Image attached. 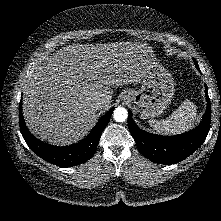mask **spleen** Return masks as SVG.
Returning a JSON list of instances; mask_svg holds the SVG:
<instances>
[{
    "instance_id": "spleen-1",
    "label": "spleen",
    "mask_w": 221,
    "mask_h": 221,
    "mask_svg": "<svg viewBox=\"0 0 221 221\" xmlns=\"http://www.w3.org/2000/svg\"><path fill=\"white\" fill-rule=\"evenodd\" d=\"M197 108L189 100L181 103L176 111L170 117L156 121L150 120V126L156 132L164 135H178L191 129L196 119Z\"/></svg>"
}]
</instances>
